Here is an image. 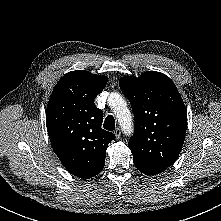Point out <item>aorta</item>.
I'll list each match as a JSON object with an SVG mask.
<instances>
[{"instance_id":"762f6f07","label":"aorta","mask_w":221,"mask_h":221,"mask_svg":"<svg viewBox=\"0 0 221 221\" xmlns=\"http://www.w3.org/2000/svg\"><path fill=\"white\" fill-rule=\"evenodd\" d=\"M108 101L109 105L112 106L122 129L130 134L132 132V117L129 109L126 107L125 101L118 93L110 94Z\"/></svg>"}]
</instances>
